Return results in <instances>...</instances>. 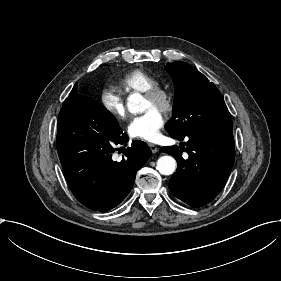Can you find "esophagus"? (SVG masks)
<instances>
[{
	"label": "esophagus",
	"mask_w": 281,
	"mask_h": 281,
	"mask_svg": "<svg viewBox=\"0 0 281 281\" xmlns=\"http://www.w3.org/2000/svg\"><path fill=\"white\" fill-rule=\"evenodd\" d=\"M149 148L151 149L152 153H157L158 148L154 144L148 143Z\"/></svg>",
	"instance_id": "1"
}]
</instances>
